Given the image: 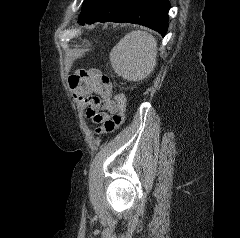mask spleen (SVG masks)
<instances>
[{
  "instance_id": "1",
  "label": "spleen",
  "mask_w": 240,
  "mask_h": 238,
  "mask_svg": "<svg viewBox=\"0 0 240 238\" xmlns=\"http://www.w3.org/2000/svg\"><path fill=\"white\" fill-rule=\"evenodd\" d=\"M114 71L124 79L140 81L148 77L157 61L156 39L146 31L127 33L111 50Z\"/></svg>"
}]
</instances>
